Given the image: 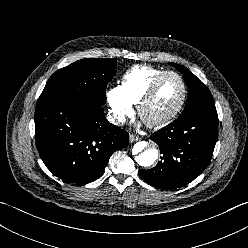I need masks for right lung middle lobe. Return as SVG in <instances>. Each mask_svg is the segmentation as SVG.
Listing matches in <instances>:
<instances>
[{"label":"right lung middle lobe","instance_id":"dd1d6c3e","mask_svg":"<svg viewBox=\"0 0 248 248\" xmlns=\"http://www.w3.org/2000/svg\"><path fill=\"white\" fill-rule=\"evenodd\" d=\"M115 66L116 59L78 60L50 77L38 102L61 100L100 108L106 102V87L116 73Z\"/></svg>","mask_w":248,"mask_h":248}]
</instances>
